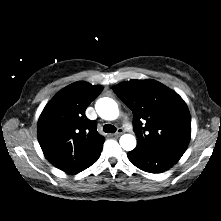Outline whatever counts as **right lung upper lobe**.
I'll list each match as a JSON object with an SVG mask.
<instances>
[{"label": "right lung upper lobe", "instance_id": "obj_1", "mask_svg": "<svg viewBox=\"0 0 221 221\" xmlns=\"http://www.w3.org/2000/svg\"><path fill=\"white\" fill-rule=\"evenodd\" d=\"M101 86L75 82L58 92L38 120V141L46 159L69 174L91 166L99 158L105 138L96 122L85 115Z\"/></svg>", "mask_w": 221, "mask_h": 221}]
</instances>
